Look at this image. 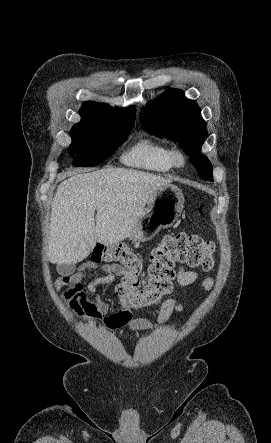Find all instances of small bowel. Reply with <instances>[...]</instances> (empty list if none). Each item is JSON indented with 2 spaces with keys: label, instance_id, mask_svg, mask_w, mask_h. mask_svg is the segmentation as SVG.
Segmentation results:
<instances>
[{
  "label": "small bowel",
  "instance_id": "obj_1",
  "mask_svg": "<svg viewBox=\"0 0 271 443\" xmlns=\"http://www.w3.org/2000/svg\"><path fill=\"white\" fill-rule=\"evenodd\" d=\"M94 268L101 270L103 275L96 277L90 282L85 291L82 279ZM124 273L125 270L118 264L87 263L78 272L57 279L54 288L56 290L66 288L61 299L78 319L83 321L104 319L109 329H118L126 326L133 331H143L164 324L174 312L180 313L182 311V305L176 299H167L160 308L156 322L134 319L128 301L119 296L122 309L115 314L107 316L109 306L102 299L98 292V287L112 283L116 276H122ZM197 279L198 275L193 271L184 268H180L178 271L177 281L182 286L190 285L197 281ZM213 284L212 278H207L203 281V286L207 290L211 289Z\"/></svg>",
  "mask_w": 271,
  "mask_h": 443
}]
</instances>
